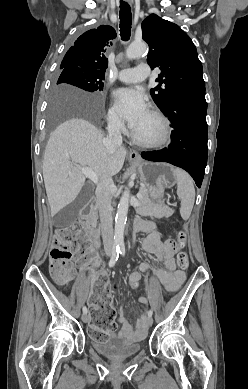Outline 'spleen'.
<instances>
[{
	"mask_svg": "<svg viewBox=\"0 0 248 389\" xmlns=\"http://www.w3.org/2000/svg\"><path fill=\"white\" fill-rule=\"evenodd\" d=\"M174 175L177 181V194L181 200L180 214L187 220L192 212L195 201V188L188 173L179 168H174Z\"/></svg>",
	"mask_w": 248,
	"mask_h": 389,
	"instance_id": "3e777b00",
	"label": "spleen"
}]
</instances>
